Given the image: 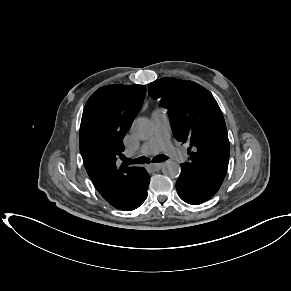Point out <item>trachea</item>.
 I'll return each mask as SVG.
<instances>
[{
    "label": "trachea",
    "mask_w": 291,
    "mask_h": 291,
    "mask_svg": "<svg viewBox=\"0 0 291 291\" xmlns=\"http://www.w3.org/2000/svg\"><path fill=\"white\" fill-rule=\"evenodd\" d=\"M168 158L165 155H157L153 158V163H159L167 160ZM130 163L132 164H144V163H150V159L147 157H139L134 160H132Z\"/></svg>",
    "instance_id": "1"
}]
</instances>
